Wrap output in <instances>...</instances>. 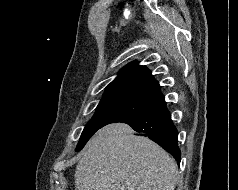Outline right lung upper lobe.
Returning a JSON list of instances; mask_svg holds the SVG:
<instances>
[{"instance_id":"cb5924a9","label":"right lung upper lobe","mask_w":238,"mask_h":190,"mask_svg":"<svg viewBox=\"0 0 238 190\" xmlns=\"http://www.w3.org/2000/svg\"><path fill=\"white\" fill-rule=\"evenodd\" d=\"M119 96L133 97L154 105L164 100L160 85L151 71L145 66L138 65L137 61L126 65L103 94V98Z\"/></svg>"}]
</instances>
